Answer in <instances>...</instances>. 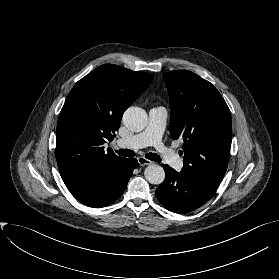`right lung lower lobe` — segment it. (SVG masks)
<instances>
[{
	"instance_id": "right-lung-lower-lobe-1",
	"label": "right lung lower lobe",
	"mask_w": 279,
	"mask_h": 279,
	"mask_svg": "<svg viewBox=\"0 0 279 279\" xmlns=\"http://www.w3.org/2000/svg\"><path fill=\"white\" fill-rule=\"evenodd\" d=\"M137 166L138 161L135 158H125L117 169L73 196L89 207L107 206L123 194L132 172Z\"/></svg>"
}]
</instances>
